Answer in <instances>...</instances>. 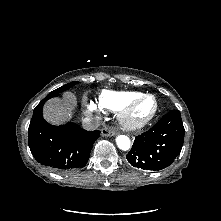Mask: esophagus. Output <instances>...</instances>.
<instances>
[{
	"mask_svg": "<svg viewBox=\"0 0 221 221\" xmlns=\"http://www.w3.org/2000/svg\"><path fill=\"white\" fill-rule=\"evenodd\" d=\"M116 134V132L113 130V129H110V128H103L101 130V135L104 136V137H110V136H114Z\"/></svg>",
	"mask_w": 221,
	"mask_h": 221,
	"instance_id": "obj_1",
	"label": "esophagus"
}]
</instances>
